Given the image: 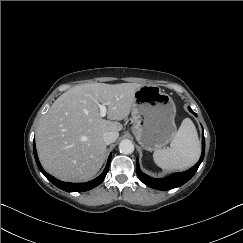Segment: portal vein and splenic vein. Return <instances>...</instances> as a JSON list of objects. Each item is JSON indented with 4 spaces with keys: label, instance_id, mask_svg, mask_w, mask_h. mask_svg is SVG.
Returning <instances> with one entry per match:
<instances>
[{
    "label": "portal vein and splenic vein",
    "instance_id": "1",
    "mask_svg": "<svg viewBox=\"0 0 243 243\" xmlns=\"http://www.w3.org/2000/svg\"><path fill=\"white\" fill-rule=\"evenodd\" d=\"M106 103L99 104L100 116L105 117L107 114Z\"/></svg>",
    "mask_w": 243,
    "mask_h": 243
}]
</instances>
